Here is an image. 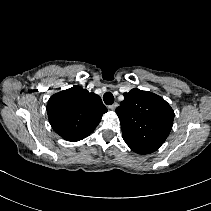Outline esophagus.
Returning a JSON list of instances; mask_svg holds the SVG:
<instances>
[{
  "label": "esophagus",
  "instance_id": "obj_1",
  "mask_svg": "<svg viewBox=\"0 0 211 211\" xmlns=\"http://www.w3.org/2000/svg\"><path fill=\"white\" fill-rule=\"evenodd\" d=\"M118 104L117 103H114L112 105L109 106V109L111 110H115L117 108Z\"/></svg>",
  "mask_w": 211,
  "mask_h": 211
}]
</instances>
